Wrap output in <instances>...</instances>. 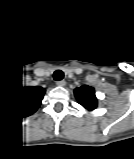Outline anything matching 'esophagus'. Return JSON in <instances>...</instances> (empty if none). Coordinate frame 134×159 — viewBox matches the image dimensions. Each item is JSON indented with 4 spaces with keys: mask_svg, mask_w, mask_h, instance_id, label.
I'll list each match as a JSON object with an SVG mask.
<instances>
[{
    "mask_svg": "<svg viewBox=\"0 0 134 159\" xmlns=\"http://www.w3.org/2000/svg\"><path fill=\"white\" fill-rule=\"evenodd\" d=\"M57 84L59 86H64L66 84L65 80H60V81H57Z\"/></svg>",
    "mask_w": 134,
    "mask_h": 159,
    "instance_id": "34e87169",
    "label": "esophagus"
}]
</instances>
